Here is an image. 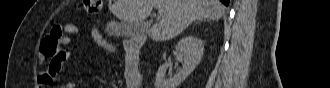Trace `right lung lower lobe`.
Wrapping results in <instances>:
<instances>
[{
  "mask_svg": "<svg viewBox=\"0 0 330 88\" xmlns=\"http://www.w3.org/2000/svg\"><path fill=\"white\" fill-rule=\"evenodd\" d=\"M225 6L229 5V0H220Z\"/></svg>",
  "mask_w": 330,
  "mask_h": 88,
  "instance_id": "obj_1",
  "label": "right lung lower lobe"
}]
</instances>
